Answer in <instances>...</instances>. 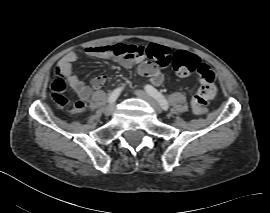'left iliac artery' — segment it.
Wrapping results in <instances>:
<instances>
[{
	"mask_svg": "<svg viewBox=\"0 0 270 213\" xmlns=\"http://www.w3.org/2000/svg\"><path fill=\"white\" fill-rule=\"evenodd\" d=\"M145 90L148 94H150L152 97H154L158 103L161 105L163 110H168L169 104L168 101L165 99V97L154 87L151 85H146Z\"/></svg>",
	"mask_w": 270,
	"mask_h": 213,
	"instance_id": "44dca946",
	"label": "left iliac artery"
}]
</instances>
